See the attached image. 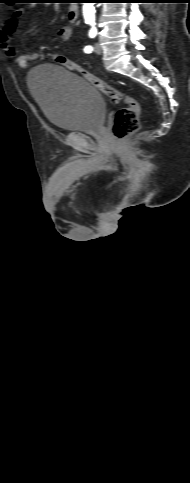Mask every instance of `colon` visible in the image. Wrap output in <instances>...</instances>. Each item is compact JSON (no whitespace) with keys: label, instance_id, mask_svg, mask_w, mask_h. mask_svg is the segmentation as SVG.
Segmentation results:
<instances>
[{"label":"colon","instance_id":"colon-1","mask_svg":"<svg viewBox=\"0 0 190 483\" xmlns=\"http://www.w3.org/2000/svg\"><path fill=\"white\" fill-rule=\"evenodd\" d=\"M52 58L57 64L82 76L100 92L106 95L111 102H124L126 104L125 107L118 110L112 126V132L115 138L123 139L138 130L141 106L134 97L126 95L115 89L112 85L96 77L88 70L68 59L62 53H55Z\"/></svg>","mask_w":190,"mask_h":483}]
</instances>
